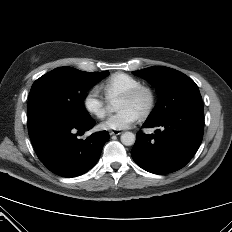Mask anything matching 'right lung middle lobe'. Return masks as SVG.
<instances>
[{
  "instance_id": "1",
  "label": "right lung middle lobe",
  "mask_w": 232,
  "mask_h": 232,
  "mask_svg": "<svg viewBox=\"0 0 232 232\" xmlns=\"http://www.w3.org/2000/svg\"><path fill=\"white\" fill-rule=\"evenodd\" d=\"M109 72H84L59 67L37 79L30 90L28 117L54 115L73 120L90 118L83 105L86 90Z\"/></svg>"
}]
</instances>
